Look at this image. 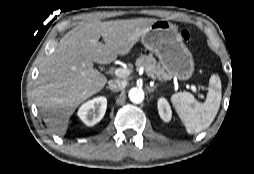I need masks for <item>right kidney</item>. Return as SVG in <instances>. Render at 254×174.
I'll return each mask as SVG.
<instances>
[{"label":"right kidney","instance_id":"ca27d5eb","mask_svg":"<svg viewBox=\"0 0 254 174\" xmlns=\"http://www.w3.org/2000/svg\"><path fill=\"white\" fill-rule=\"evenodd\" d=\"M106 108L107 99L100 96L84 103L78 110V116L87 126H94L103 118Z\"/></svg>","mask_w":254,"mask_h":174}]
</instances>
